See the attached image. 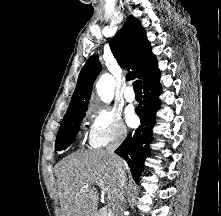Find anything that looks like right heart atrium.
Instances as JSON below:
<instances>
[{
	"instance_id": "obj_1",
	"label": "right heart atrium",
	"mask_w": 221,
	"mask_h": 216,
	"mask_svg": "<svg viewBox=\"0 0 221 216\" xmlns=\"http://www.w3.org/2000/svg\"><path fill=\"white\" fill-rule=\"evenodd\" d=\"M88 141L93 147L109 143H121L128 136V130L121 115L104 105H94L88 111Z\"/></svg>"
}]
</instances>
